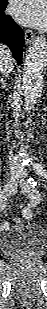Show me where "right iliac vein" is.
I'll use <instances>...</instances> for the list:
<instances>
[{
	"label": "right iliac vein",
	"instance_id": "right-iliac-vein-1",
	"mask_svg": "<svg viewBox=\"0 0 47 309\" xmlns=\"http://www.w3.org/2000/svg\"><path fill=\"white\" fill-rule=\"evenodd\" d=\"M16 189H17V180L12 179L5 185L3 192L5 195L11 196L15 193ZM6 229H8V227L2 230H6Z\"/></svg>",
	"mask_w": 47,
	"mask_h": 309
}]
</instances>
